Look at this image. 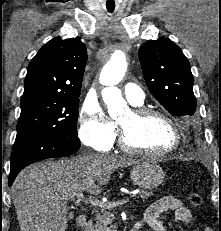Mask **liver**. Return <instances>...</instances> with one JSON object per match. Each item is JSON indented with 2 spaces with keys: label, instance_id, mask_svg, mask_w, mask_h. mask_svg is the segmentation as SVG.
I'll list each match as a JSON object with an SVG mask.
<instances>
[{
  "label": "liver",
  "instance_id": "1",
  "mask_svg": "<svg viewBox=\"0 0 221 231\" xmlns=\"http://www.w3.org/2000/svg\"><path fill=\"white\" fill-rule=\"evenodd\" d=\"M135 163L124 156L87 154L24 168L12 186L20 230L65 231L68 200L82 191L99 194L114 170Z\"/></svg>",
  "mask_w": 221,
  "mask_h": 231
}]
</instances>
